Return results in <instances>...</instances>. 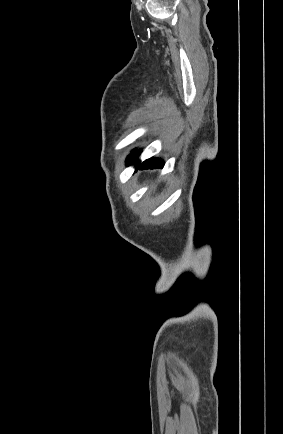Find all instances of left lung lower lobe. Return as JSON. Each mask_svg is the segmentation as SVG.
Wrapping results in <instances>:
<instances>
[{
  "mask_svg": "<svg viewBox=\"0 0 283 434\" xmlns=\"http://www.w3.org/2000/svg\"><path fill=\"white\" fill-rule=\"evenodd\" d=\"M133 162L134 160L128 162V164H132ZM135 165L137 169L162 168L164 166V162L159 158H152L144 161L143 163L136 162Z\"/></svg>",
  "mask_w": 283,
  "mask_h": 434,
  "instance_id": "1",
  "label": "left lung lower lobe"
}]
</instances>
